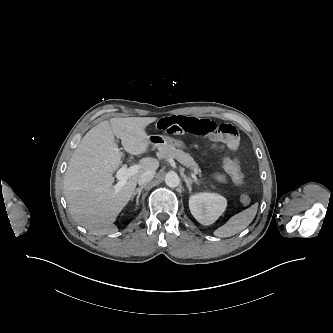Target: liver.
<instances>
[{
	"label": "liver",
	"mask_w": 333,
	"mask_h": 333,
	"mask_svg": "<svg viewBox=\"0 0 333 333\" xmlns=\"http://www.w3.org/2000/svg\"><path fill=\"white\" fill-rule=\"evenodd\" d=\"M156 120L155 117H127L103 121L85 134L72 154L64 176V196L73 219L93 235L117 232L114 222L131 199L140 175L159 167L157 159H142L137 173L129 177L120 191H115L112 175L124 154L114 136L121 139L129 154H144L151 144L146 127Z\"/></svg>",
	"instance_id": "obj_1"
}]
</instances>
